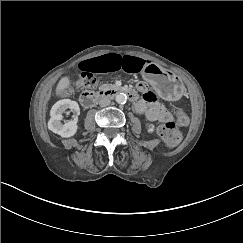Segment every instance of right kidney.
Segmentation results:
<instances>
[{"label":"right kidney","instance_id":"ca27d5eb","mask_svg":"<svg viewBox=\"0 0 243 243\" xmlns=\"http://www.w3.org/2000/svg\"><path fill=\"white\" fill-rule=\"evenodd\" d=\"M67 109L79 113V105L75 100L63 99L53 105L51 109V118L48 122L49 130L63 138L72 137L78 130V124L75 119L68 120L65 124H62L63 113H65Z\"/></svg>","mask_w":243,"mask_h":243}]
</instances>
